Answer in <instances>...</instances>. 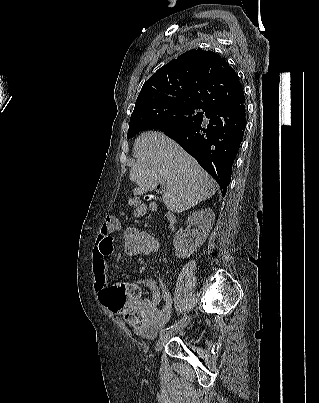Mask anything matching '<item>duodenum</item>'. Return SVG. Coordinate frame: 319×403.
Segmentation results:
<instances>
[{
	"mask_svg": "<svg viewBox=\"0 0 319 403\" xmlns=\"http://www.w3.org/2000/svg\"><path fill=\"white\" fill-rule=\"evenodd\" d=\"M166 218H167V220H168V223H169L170 227H172V226L174 225V222H175V216H174V214H173L172 212H168V213L166 214Z\"/></svg>",
	"mask_w": 319,
	"mask_h": 403,
	"instance_id": "410a0bca",
	"label": "duodenum"
}]
</instances>
